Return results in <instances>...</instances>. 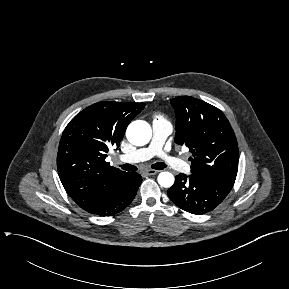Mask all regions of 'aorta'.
<instances>
[{"mask_svg": "<svg viewBox=\"0 0 289 289\" xmlns=\"http://www.w3.org/2000/svg\"><path fill=\"white\" fill-rule=\"evenodd\" d=\"M126 136L128 141L135 146L146 145L152 137V129L150 125L142 120H136L129 124ZM157 181L160 186L170 188L174 184V176L170 172H161Z\"/></svg>", "mask_w": 289, "mask_h": 289, "instance_id": "aorta-1", "label": "aorta"}]
</instances>
